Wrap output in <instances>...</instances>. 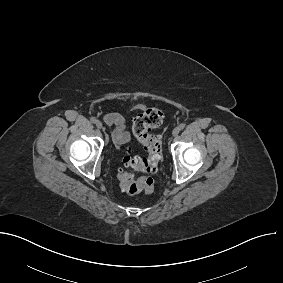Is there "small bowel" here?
I'll use <instances>...</instances> for the list:
<instances>
[{"mask_svg":"<svg viewBox=\"0 0 283 283\" xmlns=\"http://www.w3.org/2000/svg\"><path fill=\"white\" fill-rule=\"evenodd\" d=\"M107 125L114 126L112 140L115 144L121 145L130 141L131 135L127 131V122L124 116L119 113H107L103 117Z\"/></svg>","mask_w":283,"mask_h":283,"instance_id":"obj_1","label":"small bowel"}]
</instances>
